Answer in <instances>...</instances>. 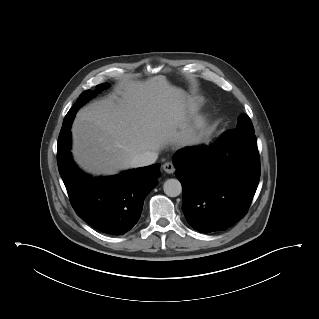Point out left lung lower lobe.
I'll list each match as a JSON object with an SVG mask.
<instances>
[{
    "label": "left lung lower lobe",
    "instance_id": "0a47b994",
    "mask_svg": "<svg viewBox=\"0 0 319 319\" xmlns=\"http://www.w3.org/2000/svg\"><path fill=\"white\" fill-rule=\"evenodd\" d=\"M174 164L183 188L182 210L194 229L222 231L244 216L260 178L254 133L227 130L211 147L179 150Z\"/></svg>",
    "mask_w": 319,
    "mask_h": 319
}]
</instances>
